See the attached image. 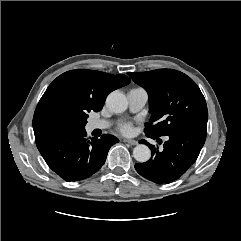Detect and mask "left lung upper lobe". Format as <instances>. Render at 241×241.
<instances>
[{"instance_id": "left-lung-upper-lobe-1", "label": "left lung upper lobe", "mask_w": 241, "mask_h": 241, "mask_svg": "<svg viewBox=\"0 0 241 241\" xmlns=\"http://www.w3.org/2000/svg\"><path fill=\"white\" fill-rule=\"evenodd\" d=\"M128 75L149 96L151 119L145 124V134L160 137L195 128L207 129L206 101L190 77L172 69Z\"/></svg>"}]
</instances>
